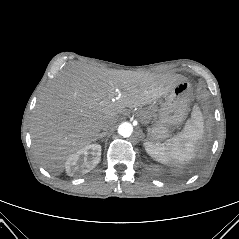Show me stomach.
Here are the masks:
<instances>
[{
	"mask_svg": "<svg viewBox=\"0 0 239 239\" xmlns=\"http://www.w3.org/2000/svg\"><path fill=\"white\" fill-rule=\"evenodd\" d=\"M190 90L189 82H181L159 102L160 108L150 130L151 141L158 142L168 138L170 130L185 120Z\"/></svg>",
	"mask_w": 239,
	"mask_h": 239,
	"instance_id": "1",
	"label": "stomach"
}]
</instances>
